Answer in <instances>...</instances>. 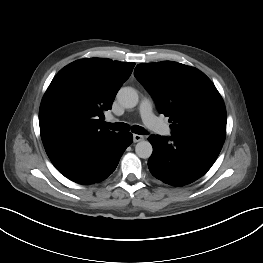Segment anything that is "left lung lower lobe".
<instances>
[{
  "instance_id": "0a47b994",
  "label": "left lung lower lobe",
  "mask_w": 263,
  "mask_h": 263,
  "mask_svg": "<svg viewBox=\"0 0 263 263\" xmlns=\"http://www.w3.org/2000/svg\"><path fill=\"white\" fill-rule=\"evenodd\" d=\"M153 153L148 160L151 174L164 183L184 186L203 176L217 159L223 143L186 133L170 138L151 135Z\"/></svg>"
}]
</instances>
